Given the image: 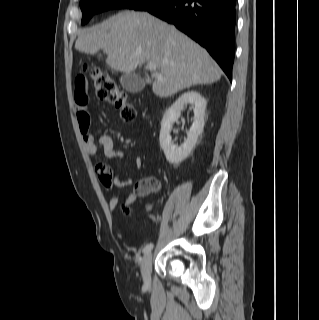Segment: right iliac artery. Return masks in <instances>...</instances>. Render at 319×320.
Masks as SVG:
<instances>
[{"mask_svg":"<svg viewBox=\"0 0 319 320\" xmlns=\"http://www.w3.org/2000/svg\"><path fill=\"white\" fill-rule=\"evenodd\" d=\"M152 249H153V243H149L144 247L143 252H144V254H147V253L151 252Z\"/></svg>","mask_w":319,"mask_h":320,"instance_id":"1","label":"right iliac artery"}]
</instances>
